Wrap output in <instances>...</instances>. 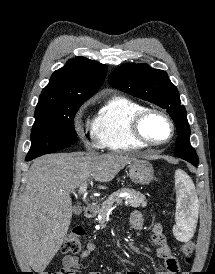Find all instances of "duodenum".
I'll return each mask as SVG.
<instances>
[{
	"instance_id": "1",
	"label": "duodenum",
	"mask_w": 215,
	"mask_h": 274,
	"mask_svg": "<svg viewBox=\"0 0 215 274\" xmlns=\"http://www.w3.org/2000/svg\"><path fill=\"white\" fill-rule=\"evenodd\" d=\"M96 212H97V207H96L95 204L92 203V204H89V205L85 208V210H84V216H85L87 219H90V218H92V217L95 216Z\"/></svg>"
}]
</instances>
